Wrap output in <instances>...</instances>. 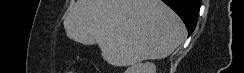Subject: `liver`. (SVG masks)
Returning <instances> with one entry per match:
<instances>
[{
  "label": "liver",
  "mask_w": 244,
  "mask_h": 73,
  "mask_svg": "<svg viewBox=\"0 0 244 73\" xmlns=\"http://www.w3.org/2000/svg\"><path fill=\"white\" fill-rule=\"evenodd\" d=\"M63 24L69 39L97 43L114 66L166 58L186 35L180 17L161 0H77Z\"/></svg>",
  "instance_id": "1"
}]
</instances>
